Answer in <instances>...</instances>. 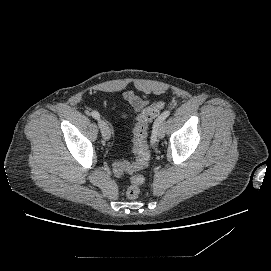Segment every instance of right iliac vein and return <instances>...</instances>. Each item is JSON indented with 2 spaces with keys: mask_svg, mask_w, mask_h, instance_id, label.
I'll return each mask as SVG.
<instances>
[{
  "mask_svg": "<svg viewBox=\"0 0 271 271\" xmlns=\"http://www.w3.org/2000/svg\"><path fill=\"white\" fill-rule=\"evenodd\" d=\"M98 125L102 134V137L105 140H109L111 136V131L110 128L108 127L107 123L104 120L99 119L98 120Z\"/></svg>",
  "mask_w": 271,
  "mask_h": 271,
  "instance_id": "63e3f726",
  "label": "right iliac vein"
}]
</instances>
